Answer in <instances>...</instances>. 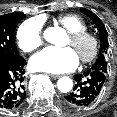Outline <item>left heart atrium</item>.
<instances>
[{
  "mask_svg": "<svg viewBox=\"0 0 117 117\" xmlns=\"http://www.w3.org/2000/svg\"><path fill=\"white\" fill-rule=\"evenodd\" d=\"M79 57L71 47H47L30 59V66L36 71L47 73L68 72L77 67Z\"/></svg>",
  "mask_w": 117,
  "mask_h": 117,
  "instance_id": "39dd6f15",
  "label": "left heart atrium"
}]
</instances>
